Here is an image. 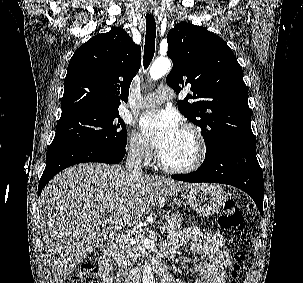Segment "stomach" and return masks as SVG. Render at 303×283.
<instances>
[{
    "mask_svg": "<svg viewBox=\"0 0 303 283\" xmlns=\"http://www.w3.org/2000/svg\"><path fill=\"white\" fill-rule=\"evenodd\" d=\"M187 204L197 214L209 217L217 213L226 202L222 189L214 185L202 184L186 188Z\"/></svg>",
    "mask_w": 303,
    "mask_h": 283,
    "instance_id": "1",
    "label": "stomach"
}]
</instances>
